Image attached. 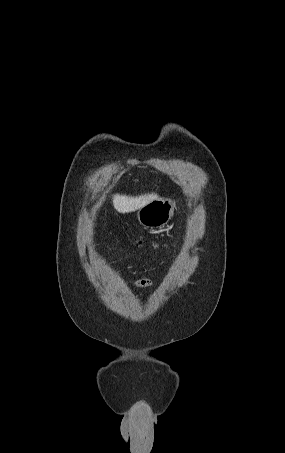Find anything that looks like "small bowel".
Here are the masks:
<instances>
[{"instance_id": "small-bowel-1", "label": "small bowel", "mask_w": 285, "mask_h": 453, "mask_svg": "<svg viewBox=\"0 0 285 453\" xmlns=\"http://www.w3.org/2000/svg\"><path fill=\"white\" fill-rule=\"evenodd\" d=\"M132 285L137 289H146L151 288L153 286V282L149 278H141L134 281Z\"/></svg>"}]
</instances>
